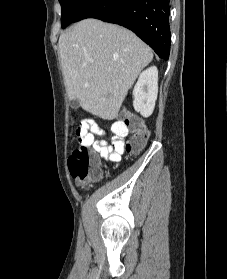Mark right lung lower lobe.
<instances>
[{
	"label": "right lung lower lobe",
	"mask_w": 227,
	"mask_h": 279,
	"mask_svg": "<svg viewBox=\"0 0 227 279\" xmlns=\"http://www.w3.org/2000/svg\"><path fill=\"white\" fill-rule=\"evenodd\" d=\"M169 0H86L73 22L96 18L132 30L160 58L170 53Z\"/></svg>",
	"instance_id": "right-lung-lower-lobe-1"
}]
</instances>
